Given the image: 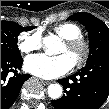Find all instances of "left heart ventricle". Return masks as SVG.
<instances>
[{"label": "left heart ventricle", "mask_w": 109, "mask_h": 109, "mask_svg": "<svg viewBox=\"0 0 109 109\" xmlns=\"http://www.w3.org/2000/svg\"><path fill=\"white\" fill-rule=\"evenodd\" d=\"M59 53L68 55L72 62L75 63L80 58L82 49L80 47L75 49H68L67 46L63 44Z\"/></svg>", "instance_id": "1"}]
</instances>
